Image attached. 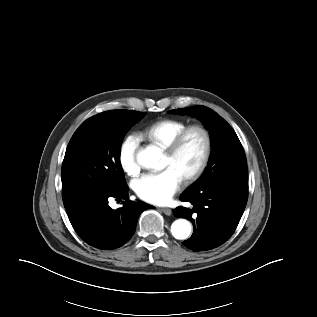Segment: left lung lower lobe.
I'll use <instances>...</instances> for the list:
<instances>
[{
	"mask_svg": "<svg viewBox=\"0 0 317 317\" xmlns=\"http://www.w3.org/2000/svg\"><path fill=\"white\" fill-rule=\"evenodd\" d=\"M248 199V178L234 177L197 190H186L181 201L190 202L192 209L177 207L176 217L190 220L194 230L183 242L197 252L214 249L225 243L235 231Z\"/></svg>",
	"mask_w": 317,
	"mask_h": 317,
	"instance_id": "1",
	"label": "left lung lower lobe"
}]
</instances>
